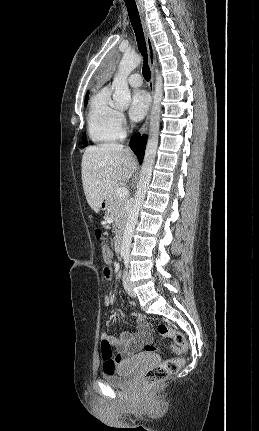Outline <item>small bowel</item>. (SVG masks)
<instances>
[{"mask_svg": "<svg viewBox=\"0 0 259 431\" xmlns=\"http://www.w3.org/2000/svg\"><path fill=\"white\" fill-rule=\"evenodd\" d=\"M103 279L109 280L111 276V271L109 268H104ZM113 303V298L111 296H106L104 299L105 306L109 307ZM136 319L139 324V330L137 333L125 332L119 336H115L109 333H102L101 339L107 341L111 346H115L117 351L108 357L103 356V368L106 365H113L114 368L118 365L125 363H131L135 355L141 350L143 345L148 344L151 341V334L148 329L144 317L141 314H136Z\"/></svg>", "mask_w": 259, "mask_h": 431, "instance_id": "1", "label": "small bowel"}]
</instances>
